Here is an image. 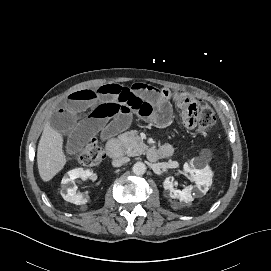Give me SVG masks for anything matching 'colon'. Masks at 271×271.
<instances>
[{
    "mask_svg": "<svg viewBox=\"0 0 271 271\" xmlns=\"http://www.w3.org/2000/svg\"><path fill=\"white\" fill-rule=\"evenodd\" d=\"M179 101L184 126L196 129L199 135L206 137L211 132L215 121L211 106L207 102L188 94L180 95ZM102 159L103 151L95 138H92L86 144L79 155V163L86 167L96 166Z\"/></svg>",
    "mask_w": 271,
    "mask_h": 271,
    "instance_id": "obj_1",
    "label": "colon"
}]
</instances>
